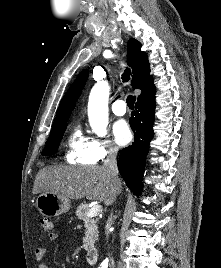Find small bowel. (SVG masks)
Masks as SVG:
<instances>
[{
  "label": "small bowel",
  "mask_w": 221,
  "mask_h": 268,
  "mask_svg": "<svg viewBox=\"0 0 221 268\" xmlns=\"http://www.w3.org/2000/svg\"><path fill=\"white\" fill-rule=\"evenodd\" d=\"M49 241H56L58 239V234L56 232L50 231L47 234ZM46 247L40 246L35 250V257L39 261L38 268H49L48 265L43 261L46 255Z\"/></svg>",
  "instance_id": "obj_1"
}]
</instances>
